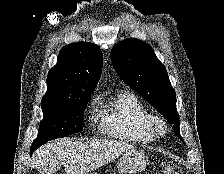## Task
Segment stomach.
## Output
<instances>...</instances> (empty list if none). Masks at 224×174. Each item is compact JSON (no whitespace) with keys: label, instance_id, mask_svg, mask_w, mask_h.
Here are the masks:
<instances>
[{"label":"stomach","instance_id":"obj_1","mask_svg":"<svg viewBox=\"0 0 224 174\" xmlns=\"http://www.w3.org/2000/svg\"><path fill=\"white\" fill-rule=\"evenodd\" d=\"M148 162V157L143 151L130 150L122 155L117 163L118 170L121 174H135L143 170ZM97 174V173H89Z\"/></svg>","mask_w":224,"mask_h":174}]
</instances>
